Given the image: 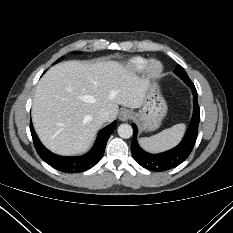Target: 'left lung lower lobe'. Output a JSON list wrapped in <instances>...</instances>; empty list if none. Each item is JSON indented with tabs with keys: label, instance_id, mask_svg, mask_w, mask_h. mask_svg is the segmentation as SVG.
<instances>
[{
	"label": "left lung lower lobe",
	"instance_id": "0a47b994",
	"mask_svg": "<svg viewBox=\"0 0 233 233\" xmlns=\"http://www.w3.org/2000/svg\"><path fill=\"white\" fill-rule=\"evenodd\" d=\"M193 93L194 110L193 116L188 127V130L178 146L175 148L160 153L150 154L145 152L137 143V127L132 124L133 127V139L131 144V151L134 159L145 169L159 172L175 168L182 163L191 153L198 134V125L200 121V109L198 105L197 91L194 84L191 82L186 83Z\"/></svg>",
	"mask_w": 233,
	"mask_h": 233
}]
</instances>
